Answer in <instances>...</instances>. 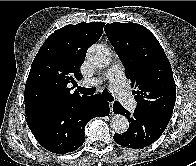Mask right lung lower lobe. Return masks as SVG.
Masks as SVG:
<instances>
[{"label": "right lung lower lobe", "mask_w": 196, "mask_h": 166, "mask_svg": "<svg viewBox=\"0 0 196 166\" xmlns=\"http://www.w3.org/2000/svg\"><path fill=\"white\" fill-rule=\"evenodd\" d=\"M109 115V104L100 95L84 96L54 111L27 118L36 140L45 149L66 154L78 149L85 140L84 127L94 117Z\"/></svg>", "instance_id": "98d812e1"}]
</instances>
